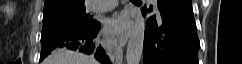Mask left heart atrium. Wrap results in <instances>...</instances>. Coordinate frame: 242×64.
<instances>
[{"instance_id": "39dd6f15", "label": "left heart atrium", "mask_w": 242, "mask_h": 64, "mask_svg": "<svg viewBox=\"0 0 242 64\" xmlns=\"http://www.w3.org/2000/svg\"><path fill=\"white\" fill-rule=\"evenodd\" d=\"M128 27L127 15L121 14L108 21L106 30L110 34H118Z\"/></svg>"}]
</instances>
